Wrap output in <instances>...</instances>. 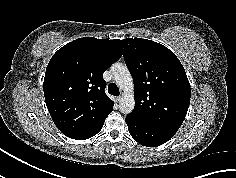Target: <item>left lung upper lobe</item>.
Masks as SVG:
<instances>
[{
	"mask_svg": "<svg viewBox=\"0 0 236 178\" xmlns=\"http://www.w3.org/2000/svg\"><path fill=\"white\" fill-rule=\"evenodd\" d=\"M124 59L134 78L135 108L128 116L178 130L189 107L186 72L165 46L142 38H126Z\"/></svg>",
	"mask_w": 236,
	"mask_h": 178,
	"instance_id": "5c2ea615",
	"label": "left lung upper lobe"
}]
</instances>
